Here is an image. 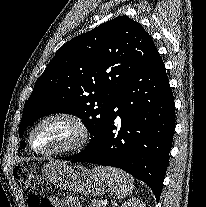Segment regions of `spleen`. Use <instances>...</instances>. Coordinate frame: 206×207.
Wrapping results in <instances>:
<instances>
[{
	"label": "spleen",
	"mask_w": 206,
	"mask_h": 207,
	"mask_svg": "<svg viewBox=\"0 0 206 207\" xmlns=\"http://www.w3.org/2000/svg\"><path fill=\"white\" fill-rule=\"evenodd\" d=\"M93 172L109 186L118 199H124L132 193L134 179L126 172L111 167H95Z\"/></svg>",
	"instance_id": "obj_1"
}]
</instances>
